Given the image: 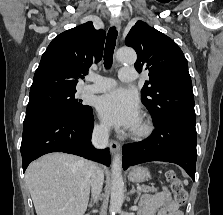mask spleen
Wrapping results in <instances>:
<instances>
[{
  "instance_id": "obj_1",
  "label": "spleen",
  "mask_w": 223,
  "mask_h": 215,
  "mask_svg": "<svg viewBox=\"0 0 223 215\" xmlns=\"http://www.w3.org/2000/svg\"><path fill=\"white\" fill-rule=\"evenodd\" d=\"M184 183H185V185H187V183H188L187 179H184Z\"/></svg>"
}]
</instances>
